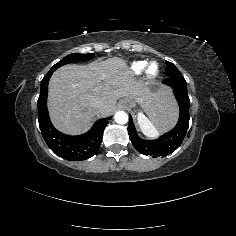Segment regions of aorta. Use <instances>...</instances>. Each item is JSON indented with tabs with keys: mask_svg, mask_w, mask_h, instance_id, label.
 Segmentation results:
<instances>
[{
	"mask_svg": "<svg viewBox=\"0 0 236 236\" xmlns=\"http://www.w3.org/2000/svg\"><path fill=\"white\" fill-rule=\"evenodd\" d=\"M114 118L118 124H126L128 122V115L124 111H118L115 113Z\"/></svg>",
	"mask_w": 236,
	"mask_h": 236,
	"instance_id": "1",
	"label": "aorta"
}]
</instances>
